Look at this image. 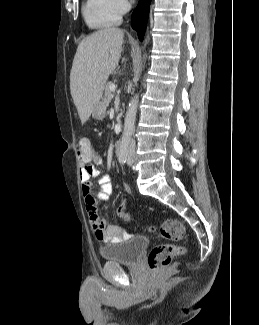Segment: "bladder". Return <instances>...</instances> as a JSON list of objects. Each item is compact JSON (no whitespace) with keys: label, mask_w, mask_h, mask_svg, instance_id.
I'll use <instances>...</instances> for the list:
<instances>
[{"label":"bladder","mask_w":259,"mask_h":325,"mask_svg":"<svg viewBox=\"0 0 259 325\" xmlns=\"http://www.w3.org/2000/svg\"><path fill=\"white\" fill-rule=\"evenodd\" d=\"M148 245L147 237L134 236L128 240L101 247L100 255L107 261L133 265L139 261Z\"/></svg>","instance_id":"31cf9c89"}]
</instances>
